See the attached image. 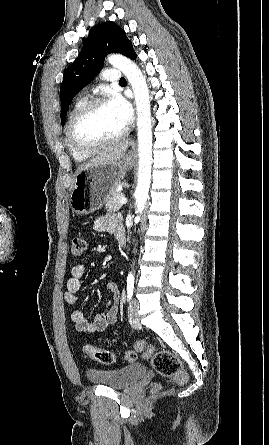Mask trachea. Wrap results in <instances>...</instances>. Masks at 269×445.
Masks as SVG:
<instances>
[{"label":"trachea","instance_id":"obj_1","mask_svg":"<svg viewBox=\"0 0 269 445\" xmlns=\"http://www.w3.org/2000/svg\"><path fill=\"white\" fill-rule=\"evenodd\" d=\"M119 82L123 83V82H126V80H125V78H121Z\"/></svg>","mask_w":269,"mask_h":445}]
</instances>
